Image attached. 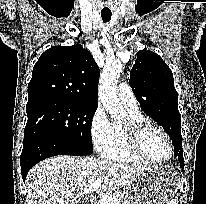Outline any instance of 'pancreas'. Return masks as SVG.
<instances>
[{
	"label": "pancreas",
	"mask_w": 206,
	"mask_h": 204,
	"mask_svg": "<svg viewBox=\"0 0 206 204\" xmlns=\"http://www.w3.org/2000/svg\"><path fill=\"white\" fill-rule=\"evenodd\" d=\"M118 198V204H130L128 201V197L125 191H118L112 195V198ZM100 204V203H99Z\"/></svg>",
	"instance_id": "1"
}]
</instances>
